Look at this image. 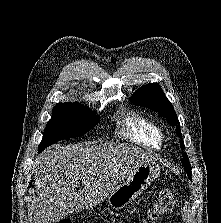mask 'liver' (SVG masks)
I'll list each match as a JSON object with an SVG mask.
<instances>
[{
  "label": "liver",
  "mask_w": 221,
  "mask_h": 223,
  "mask_svg": "<svg viewBox=\"0 0 221 223\" xmlns=\"http://www.w3.org/2000/svg\"><path fill=\"white\" fill-rule=\"evenodd\" d=\"M147 150L122 143L55 144L34 162L32 223H53L109 197L138 166L154 162ZM82 187L75 192L79 182Z\"/></svg>",
  "instance_id": "liver-1"
}]
</instances>
